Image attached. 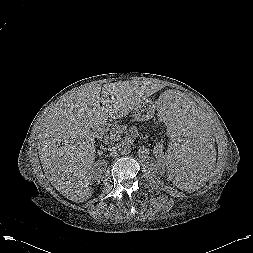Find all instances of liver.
Returning <instances> with one entry per match:
<instances>
[{"instance_id": "obj_1", "label": "liver", "mask_w": 253, "mask_h": 253, "mask_svg": "<svg viewBox=\"0 0 253 253\" xmlns=\"http://www.w3.org/2000/svg\"><path fill=\"white\" fill-rule=\"evenodd\" d=\"M153 93L139 82L96 84L57 104L40 124L38 150L44 173L58 192L77 203L92 196L96 148L91 129L127 116Z\"/></svg>"}]
</instances>
